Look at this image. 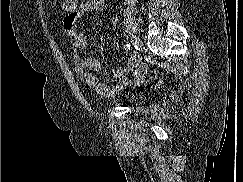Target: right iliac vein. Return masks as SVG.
<instances>
[{
    "label": "right iliac vein",
    "mask_w": 243,
    "mask_h": 182,
    "mask_svg": "<svg viewBox=\"0 0 243 182\" xmlns=\"http://www.w3.org/2000/svg\"><path fill=\"white\" fill-rule=\"evenodd\" d=\"M131 43L135 48H140L141 47V41L137 36H132L131 38Z\"/></svg>",
    "instance_id": "63e3f726"
}]
</instances>
